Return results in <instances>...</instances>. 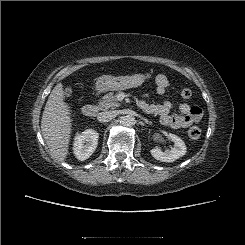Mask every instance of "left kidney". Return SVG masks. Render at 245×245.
I'll use <instances>...</instances> for the list:
<instances>
[{
  "mask_svg": "<svg viewBox=\"0 0 245 245\" xmlns=\"http://www.w3.org/2000/svg\"><path fill=\"white\" fill-rule=\"evenodd\" d=\"M169 137L174 142V146L171 150H166L165 152L158 148H153L150 150L151 155L156 160L162 162H174L186 154L187 148L184 141L172 133L169 134Z\"/></svg>",
  "mask_w": 245,
  "mask_h": 245,
  "instance_id": "5707ae66",
  "label": "left kidney"
}]
</instances>
